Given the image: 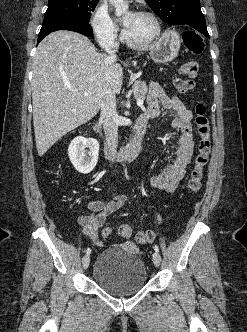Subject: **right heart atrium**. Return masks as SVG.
<instances>
[{
    "label": "right heart atrium",
    "instance_id": "obj_1",
    "mask_svg": "<svg viewBox=\"0 0 247 332\" xmlns=\"http://www.w3.org/2000/svg\"><path fill=\"white\" fill-rule=\"evenodd\" d=\"M90 24L97 41L103 46H114L117 41V26L107 8L99 5L95 8Z\"/></svg>",
    "mask_w": 247,
    "mask_h": 332
}]
</instances>
